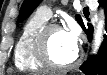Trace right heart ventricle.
Wrapping results in <instances>:
<instances>
[{"label": "right heart ventricle", "mask_w": 107, "mask_h": 75, "mask_svg": "<svg viewBox=\"0 0 107 75\" xmlns=\"http://www.w3.org/2000/svg\"><path fill=\"white\" fill-rule=\"evenodd\" d=\"M47 23V19L35 13L24 24L14 49V63L21 71L38 72L45 70L33 51V40L37 32Z\"/></svg>", "instance_id": "obj_1"}]
</instances>
